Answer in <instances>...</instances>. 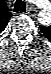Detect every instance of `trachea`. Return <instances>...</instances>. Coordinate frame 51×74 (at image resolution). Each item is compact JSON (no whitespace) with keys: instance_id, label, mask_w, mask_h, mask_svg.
I'll use <instances>...</instances> for the list:
<instances>
[{"instance_id":"trachea-1","label":"trachea","mask_w":51,"mask_h":74,"mask_svg":"<svg viewBox=\"0 0 51 74\" xmlns=\"http://www.w3.org/2000/svg\"><path fill=\"white\" fill-rule=\"evenodd\" d=\"M23 2V1H22ZM22 2H20V4L18 3V5H20V7H22ZM17 12V11H16Z\"/></svg>"}]
</instances>
